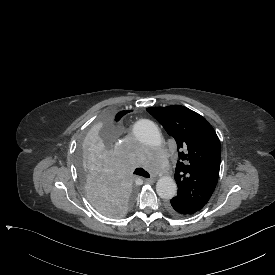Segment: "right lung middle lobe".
Instances as JSON below:
<instances>
[{
  "mask_svg": "<svg viewBox=\"0 0 275 275\" xmlns=\"http://www.w3.org/2000/svg\"><path fill=\"white\" fill-rule=\"evenodd\" d=\"M121 125L117 113H105L82 134L74 157L79 186L95 209L109 217L128 213L135 193L114 146Z\"/></svg>",
  "mask_w": 275,
  "mask_h": 275,
  "instance_id": "right-lung-middle-lobe-1",
  "label": "right lung middle lobe"
}]
</instances>
